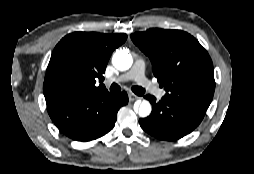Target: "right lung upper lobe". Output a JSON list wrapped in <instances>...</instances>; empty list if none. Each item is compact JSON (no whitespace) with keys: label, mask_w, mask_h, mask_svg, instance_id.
I'll return each instance as SVG.
<instances>
[{"label":"right lung upper lobe","mask_w":254,"mask_h":174,"mask_svg":"<svg viewBox=\"0 0 254 174\" xmlns=\"http://www.w3.org/2000/svg\"><path fill=\"white\" fill-rule=\"evenodd\" d=\"M127 39L126 34L74 32L66 35L56 45L47 67L43 84L46 103L49 104L68 94L105 93L103 79L113 50Z\"/></svg>","instance_id":"1"}]
</instances>
